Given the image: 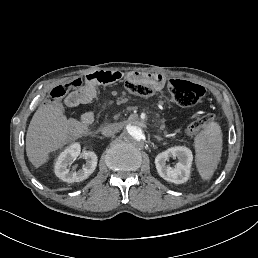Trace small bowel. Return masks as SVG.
<instances>
[{
    "instance_id": "c3829d8e",
    "label": "small bowel",
    "mask_w": 258,
    "mask_h": 258,
    "mask_svg": "<svg viewBox=\"0 0 258 258\" xmlns=\"http://www.w3.org/2000/svg\"><path fill=\"white\" fill-rule=\"evenodd\" d=\"M95 95H96V88L86 84L84 88L69 94L65 102L68 106H76L79 104L89 102L95 97ZM93 120H94V116L91 112H84L81 115V121L85 125L92 124Z\"/></svg>"
}]
</instances>
